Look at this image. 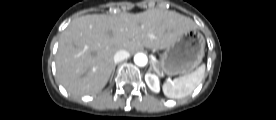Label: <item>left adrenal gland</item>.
I'll return each instance as SVG.
<instances>
[{"instance_id": "1", "label": "left adrenal gland", "mask_w": 276, "mask_h": 120, "mask_svg": "<svg viewBox=\"0 0 276 120\" xmlns=\"http://www.w3.org/2000/svg\"><path fill=\"white\" fill-rule=\"evenodd\" d=\"M151 70H152V67H150L149 72H151Z\"/></svg>"}]
</instances>
